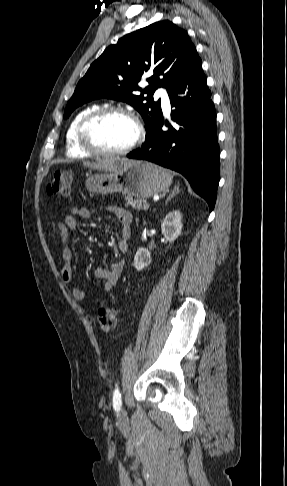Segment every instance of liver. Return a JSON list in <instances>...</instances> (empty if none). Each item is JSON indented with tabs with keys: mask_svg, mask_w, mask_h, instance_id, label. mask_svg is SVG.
Here are the masks:
<instances>
[{
	"mask_svg": "<svg viewBox=\"0 0 287 486\" xmlns=\"http://www.w3.org/2000/svg\"><path fill=\"white\" fill-rule=\"evenodd\" d=\"M133 162L127 158H110L99 161L97 163L94 162H84L83 165L90 169L100 170L105 172H112L119 169L123 164H128Z\"/></svg>",
	"mask_w": 287,
	"mask_h": 486,
	"instance_id": "6515ba94",
	"label": "liver"
}]
</instances>
